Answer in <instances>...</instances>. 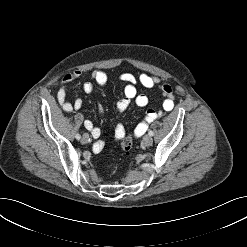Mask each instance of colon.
<instances>
[{"mask_svg": "<svg viewBox=\"0 0 247 247\" xmlns=\"http://www.w3.org/2000/svg\"><path fill=\"white\" fill-rule=\"evenodd\" d=\"M118 140H121V149L124 154H129L133 145V135L131 132L124 134L122 137L117 136Z\"/></svg>", "mask_w": 247, "mask_h": 247, "instance_id": "colon-1", "label": "colon"}]
</instances>
